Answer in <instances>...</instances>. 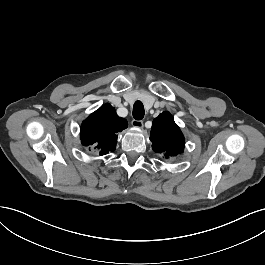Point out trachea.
<instances>
[{"label":"trachea","instance_id":"3493384b","mask_svg":"<svg viewBox=\"0 0 265 265\" xmlns=\"http://www.w3.org/2000/svg\"><path fill=\"white\" fill-rule=\"evenodd\" d=\"M145 110L141 101H136L133 106V117L136 120H141L144 117Z\"/></svg>","mask_w":265,"mask_h":265}]
</instances>
